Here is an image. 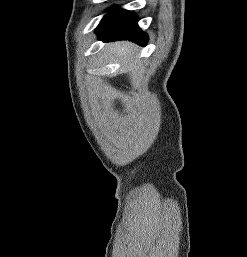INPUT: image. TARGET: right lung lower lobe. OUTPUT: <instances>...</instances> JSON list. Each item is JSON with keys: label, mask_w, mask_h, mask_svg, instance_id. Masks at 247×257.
<instances>
[{"label": "right lung lower lobe", "mask_w": 247, "mask_h": 257, "mask_svg": "<svg viewBox=\"0 0 247 257\" xmlns=\"http://www.w3.org/2000/svg\"><path fill=\"white\" fill-rule=\"evenodd\" d=\"M138 17L132 12L119 8H112L99 23L95 32L100 40H130L145 46L148 36L138 24Z\"/></svg>", "instance_id": "98d812e1"}]
</instances>
